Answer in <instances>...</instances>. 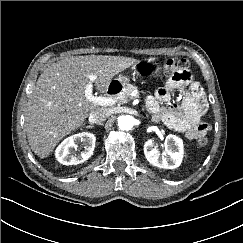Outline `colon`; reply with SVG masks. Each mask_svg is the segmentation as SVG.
Wrapping results in <instances>:
<instances>
[{
  "label": "colon",
  "mask_w": 243,
  "mask_h": 243,
  "mask_svg": "<svg viewBox=\"0 0 243 243\" xmlns=\"http://www.w3.org/2000/svg\"><path fill=\"white\" fill-rule=\"evenodd\" d=\"M164 73L166 76L174 78H183L189 71V63L186 59L181 57H173L166 61L164 65ZM208 138L203 135L197 140L199 146H206L208 144Z\"/></svg>",
  "instance_id": "5ec220e1"
}]
</instances>
